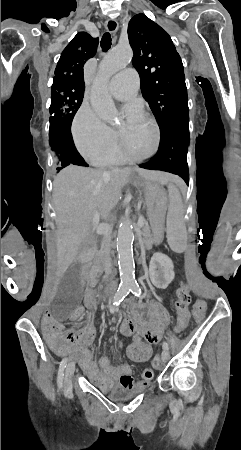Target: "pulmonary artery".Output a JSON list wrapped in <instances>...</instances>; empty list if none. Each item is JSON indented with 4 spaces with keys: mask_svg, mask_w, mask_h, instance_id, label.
I'll return each instance as SVG.
<instances>
[{
    "mask_svg": "<svg viewBox=\"0 0 241 450\" xmlns=\"http://www.w3.org/2000/svg\"><path fill=\"white\" fill-rule=\"evenodd\" d=\"M138 81L137 69L119 71L118 75L112 76L109 92L116 100L126 102L135 95Z\"/></svg>",
    "mask_w": 241,
    "mask_h": 450,
    "instance_id": "1",
    "label": "pulmonary artery"
}]
</instances>
